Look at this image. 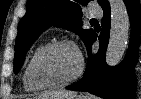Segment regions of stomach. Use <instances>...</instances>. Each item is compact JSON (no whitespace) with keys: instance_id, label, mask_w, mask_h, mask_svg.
Wrapping results in <instances>:
<instances>
[{"instance_id":"obj_1","label":"stomach","mask_w":141,"mask_h":99,"mask_svg":"<svg viewBox=\"0 0 141 99\" xmlns=\"http://www.w3.org/2000/svg\"><path fill=\"white\" fill-rule=\"evenodd\" d=\"M35 99H43V98H39V97H37V98H35ZM78 99H87V98H85V96H81V97L78 98Z\"/></svg>"}]
</instances>
